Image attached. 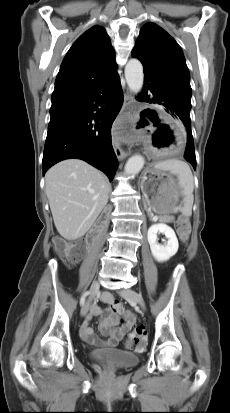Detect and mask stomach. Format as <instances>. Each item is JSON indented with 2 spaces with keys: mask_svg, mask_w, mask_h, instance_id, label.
<instances>
[{
  "mask_svg": "<svg viewBox=\"0 0 230 413\" xmlns=\"http://www.w3.org/2000/svg\"><path fill=\"white\" fill-rule=\"evenodd\" d=\"M144 199L153 212L161 219L176 207L180 197V187L164 171L151 168L144 172L141 181Z\"/></svg>",
  "mask_w": 230,
  "mask_h": 413,
  "instance_id": "0dacf381",
  "label": "stomach"
}]
</instances>
